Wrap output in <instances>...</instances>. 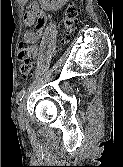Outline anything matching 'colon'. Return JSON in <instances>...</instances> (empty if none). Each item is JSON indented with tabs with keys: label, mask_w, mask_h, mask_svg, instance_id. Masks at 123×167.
Wrapping results in <instances>:
<instances>
[{
	"label": "colon",
	"mask_w": 123,
	"mask_h": 167,
	"mask_svg": "<svg viewBox=\"0 0 123 167\" xmlns=\"http://www.w3.org/2000/svg\"><path fill=\"white\" fill-rule=\"evenodd\" d=\"M78 15V8L75 5H69L65 11L64 27L69 30L74 25ZM18 58L22 61L20 71L24 78H29L33 75V64L29 59V46L22 42L18 46Z\"/></svg>",
	"instance_id": "1"
}]
</instances>
